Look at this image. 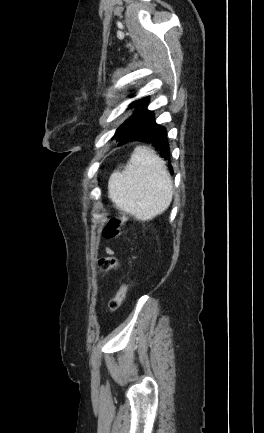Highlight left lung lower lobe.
<instances>
[{
  "label": "left lung lower lobe",
  "mask_w": 264,
  "mask_h": 433,
  "mask_svg": "<svg viewBox=\"0 0 264 433\" xmlns=\"http://www.w3.org/2000/svg\"><path fill=\"white\" fill-rule=\"evenodd\" d=\"M149 98L136 101L133 105L136 109L133 114L122 124L130 134L124 141H119L118 146L131 141H141L152 144L161 157L170 160L167 131L163 126L155 122L154 113L147 110ZM170 171L173 172L172 167Z\"/></svg>",
  "instance_id": "left-lung-lower-lobe-1"
}]
</instances>
